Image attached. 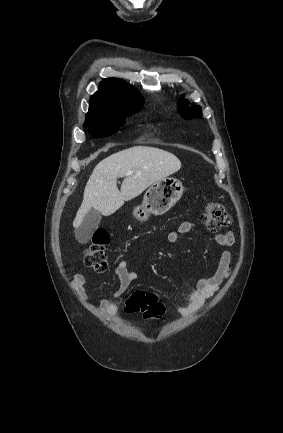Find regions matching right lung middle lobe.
Returning a JSON list of instances; mask_svg holds the SVG:
<instances>
[{
	"instance_id": "right-lung-middle-lobe-1",
	"label": "right lung middle lobe",
	"mask_w": 283,
	"mask_h": 433,
	"mask_svg": "<svg viewBox=\"0 0 283 433\" xmlns=\"http://www.w3.org/2000/svg\"><path fill=\"white\" fill-rule=\"evenodd\" d=\"M141 108L87 113L85 128L98 137L110 136L125 124V119Z\"/></svg>"
}]
</instances>
